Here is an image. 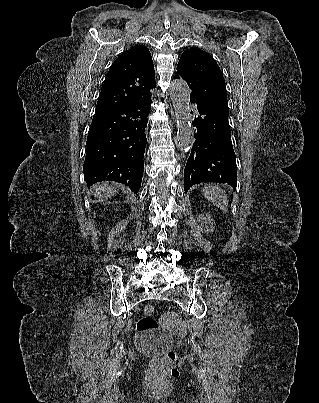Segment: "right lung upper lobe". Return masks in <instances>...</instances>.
Returning a JSON list of instances; mask_svg holds the SVG:
<instances>
[{
    "instance_id": "right-lung-upper-lobe-1",
    "label": "right lung upper lobe",
    "mask_w": 319,
    "mask_h": 403,
    "mask_svg": "<svg viewBox=\"0 0 319 403\" xmlns=\"http://www.w3.org/2000/svg\"><path fill=\"white\" fill-rule=\"evenodd\" d=\"M156 86L151 54L137 45L124 51L112 64L98 98L95 113L121 109L151 97Z\"/></svg>"
}]
</instances>
